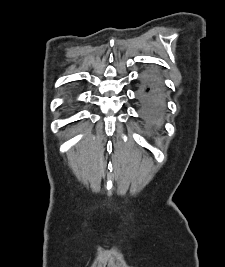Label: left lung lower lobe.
I'll use <instances>...</instances> for the list:
<instances>
[{"label":"left lung lower lobe","instance_id":"left-lung-lower-lobe-1","mask_svg":"<svg viewBox=\"0 0 225 267\" xmlns=\"http://www.w3.org/2000/svg\"><path fill=\"white\" fill-rule=\"evenodd\" d=\"M140 93V103L148 111L155 122H162L165 115V105L162 97L161 85L153 73H148L143 82Z\"/></svg>","mask_w":225,"mask_h":267}]
</instances>
